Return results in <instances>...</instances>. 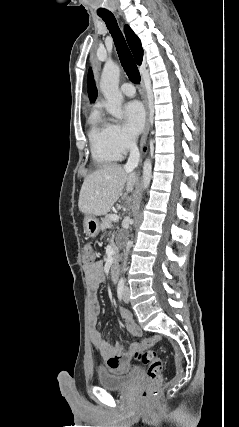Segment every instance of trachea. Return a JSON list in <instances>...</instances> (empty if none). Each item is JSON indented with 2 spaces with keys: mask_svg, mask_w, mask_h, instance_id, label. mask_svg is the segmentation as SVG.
I'll return each instance as SVG.
<instances>
[{
  "mask_svg": "<svg viewBox=\"0 0 239 427\" xmlns=\"http://www.w3.org/2000/svg\"><path fill=\"white\" fill-rule=\"evenodd\" d=\"M100 17L106 23L107 28L113 37L119 59L127 76L132 82L136 84L140 83L141 78L139 70L126 44L124 36L118 27L115 17L113 15H100Z\"/></svg>",
  "mask_w": 239,
  "mask_h": 427,
  "instance_id": "obj_1",
  "label": "trachea"
}]
</instances>
